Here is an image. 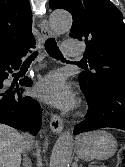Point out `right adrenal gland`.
Wrapping results in <instances>:
<instances>
[{
	"instance_id": "1",
	"label": "right adrenal gland",
	"mask_w": 125,
	"mask_h": 167,
	"mask_svg": "<svg viewBox=\"0 0 125 167\" xmlns=\"http://www.w3.org/2000/svg\"><path fill=\"white\" fill-rule=\"evenodd\" d=\"M29 164H30V162H29L28 158L26 157V155L24 154L23 155V167H29Z\"/></svg>"
}]
</instances>
